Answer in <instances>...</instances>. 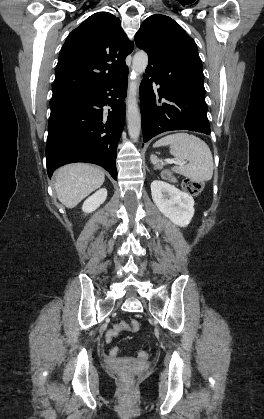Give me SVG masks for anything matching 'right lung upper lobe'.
<instances>
[{
	"label": "right lung upper lobe",
	"mask_w": 264,
	"mask_h": 419,
	"mask_svg": "<svg viewBox=\"0 0 264 419\" xmlns=\"http://www.w3.org/2000/svg\"><path fill=\"white\" fill-rule=\"evenodd\" d=\"M116 16L98 12L67 37L60 50L52 97L100 88L128 70L125 58L132 52Z\"/></svg>",
	"instance_id": "1"
}]
</instances>
